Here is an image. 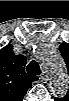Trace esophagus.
Segmentation results:
<instances>
[{
	"label": "esophagus",
	"instance_id": "34e87169",
	"mask_svg": "<svg viewBox=\"0 0 69 101\" xmlns=\"http://www.w3.org/2000/svg\"><path fill=\"white\" fill-rule=\"evenodd\" d=\"M45 72H43L42 74H41V76H40V79L42 80V81H44V80H46V77H45V74H44Z\"/></svg>",
	"mask_w": 69,
	"mask_h": 101
}]
</instances>
